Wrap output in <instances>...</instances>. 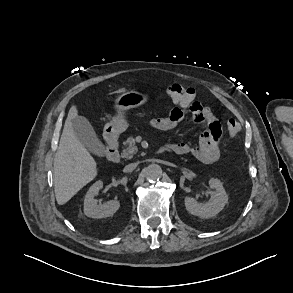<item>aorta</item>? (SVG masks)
Listing matches in <instances>:
<instances>
[{
  "instance_id": "762f6f07",
  "label": "aorta",
  "mask_w": 293,
  "mask_h": 293,
  "mask_svg": "<svg viewBox=\"0 0 293 293\" xmlns=\"http://www.w3.org/2000/svg\"><path fill=\"white\" fill-rule=\"evenodd\" d=\"M145 177L149 181H156L159 180L162 176V169L157 164H151L144 170Z\"/></svg>"
}]
</instances>
